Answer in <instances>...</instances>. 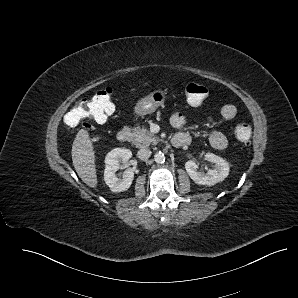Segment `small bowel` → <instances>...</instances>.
<instances>
[{
	"mask_svg": "<svg viewBox=\"0 0 298 298\" xmlns=\"http://www.w3.org/2000/svg\"><path fill=\"white\" fill-rule=\"evenodd\" d=\"M236 113L237 109L232 104H226L220 110L221 117L225 120L233 119ZM209 121L212 122V119L210 118ZM170 124L176 129H181L185 126L186 119L183 114L174 113L170 117ZM209 141L211 146L217 150H223L228 146L227 137L220 131H213L209 136Z\"/></svg>",
	"mask_w": 298,
	"mask_h": 298,
	"instance_id": "c3829d8e",
	"label": "small bowel"
}]
</instances>
